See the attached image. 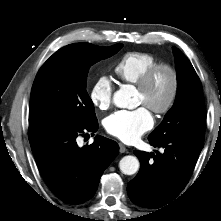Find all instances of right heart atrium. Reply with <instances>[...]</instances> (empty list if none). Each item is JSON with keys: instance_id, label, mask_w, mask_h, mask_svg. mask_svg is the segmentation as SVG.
Returning <instances> with one entry per match:
<instances>
[{"instance_id": "obj_1", "label": "right heart atrium", "mask_w": 221, "mask_h": 221, "mask_svg": "<svg viewBox=\"0 0 221 221\" xmlns=\"http://www.w3.org/2000/svg\"><path fill=\"white\" fill-rule=\"evenodd\" d=\"M114 87L107 76L98 77L89 92V99L100 111L107 110L113 100Z\"/></svg>"}]
</instances>
